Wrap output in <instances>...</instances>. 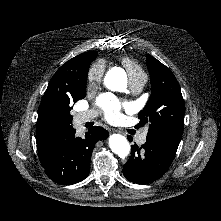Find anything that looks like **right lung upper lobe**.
Returning <instances> with one entry per match:
<instances>
[{"instance_id": "cb5924a9", "label": "right lung upper lobe", "mask_w": 221, "mask_h": 221, "mask_svg": "<svg viewBox=\"0 0 221 221\" xmlns=\"http://www.w3.org/2000/svg\"><path fill=\"white\" fill-rule=\"evenodd\" d=\"M96 56L94 51L77 55L64 63L49 82L38 109L36 124V142L43 167L49 161L59 134L70 127L59 118L63 94H70L87 80L90 63Z\"/></svg>"}]
</instances>
